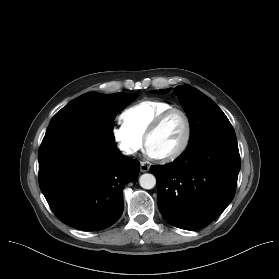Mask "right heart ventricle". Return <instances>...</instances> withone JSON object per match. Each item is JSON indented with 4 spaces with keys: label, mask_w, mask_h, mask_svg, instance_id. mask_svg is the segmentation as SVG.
<instances>
[{
    "label": "right heart ventricle",
    "mask_w": 279,
    "mask_h": 279,
    "mask_svg": "<svg viewBox=\"0 0 279 279\" xmlns=\"http://www.w3.org/2000/svg\"><path fill=\"white\" fill-rule=\"evenodd\" d=\"M171 107L173 105L164 100L144 99L125 109L121 114V119L125 125L144 138L153 120L162 111Z\"/></svg>",
    "instance_id": "obj_1"
}]
</instances>
